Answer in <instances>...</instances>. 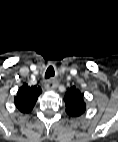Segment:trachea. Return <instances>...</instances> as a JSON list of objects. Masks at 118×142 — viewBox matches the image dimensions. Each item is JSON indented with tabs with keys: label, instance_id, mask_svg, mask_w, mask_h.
I'll use <instances>...</instances> for the list:
<instances>
[{
	"label": "trachea",
	"instance_id": "1",
	"mask_svg": "<svg viewBox=\"0 0 118 142\" xmlns=\"http://www.w3.org/2000/svg\"><path fill=\"white\" fill-rule=\"evenodd\" d=\"M55 75L54 68L49 66L45 72V79H52Z\"/></svg>",
	"mask_w": 118,
	"mask_h": 142
}]
</instances>
